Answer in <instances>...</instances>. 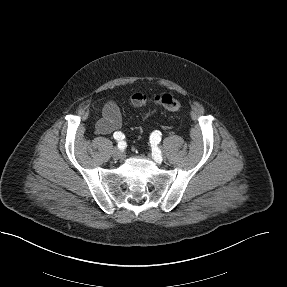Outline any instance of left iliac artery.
I'll return each instance as SVG.
<instances>
[{
    "mask_svg": "<svg viewBox=\"0 0 287 287\" xmlns=\"http://www.w3.org/2000/svg\"><path fill=\"white\" fill-rule=\"evenodd\" d=\"M161 141V133L159 131H154L150 136V142L152 144H158Z\"/></svg>",
    "mask_w": 287,
    "mask_h": 287,
    "instance_id": "left-iliac-artery-1",
    "label": "left iliac artery"
}]
</instances>
